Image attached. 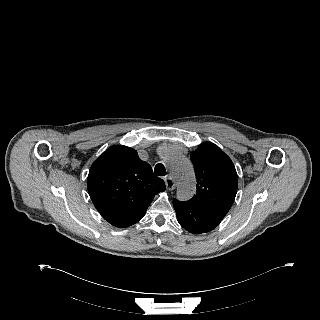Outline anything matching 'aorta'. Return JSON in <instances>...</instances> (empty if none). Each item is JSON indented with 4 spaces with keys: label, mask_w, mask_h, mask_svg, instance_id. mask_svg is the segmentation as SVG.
Wrapping results in <instances>:
<instances>
[{
    "label": "aorta",
    "mask_w": 320,
    "mask_h": 320,
    "mask_svg": "<svg viewBox=\"0 0 320 320\" xmlns=\"http://www.w3.org/2000/svg\"><path fill=\"white\" fill-rule=\"evenodd\" d=\"M164 160L177 182V198L182 201L190 199L195 192V175L191 162L174 151H169Z\"/></svg>",
    "instance_id": "762f6f07"
}]
</instances>
